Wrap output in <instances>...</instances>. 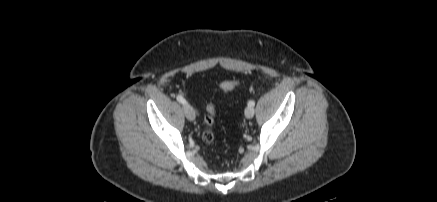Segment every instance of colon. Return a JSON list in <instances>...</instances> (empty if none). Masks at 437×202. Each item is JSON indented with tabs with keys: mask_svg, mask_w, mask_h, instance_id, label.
<instances>
[{
	"mask_svg": "<svg viewBox=\"0 0 437 202\" xmlns=\"http://www.w3.org/2000/svg\"><path fill=\"white\" fill-rule=\"evenodd\" d=\"M239 83V79H230L222 82L220 85L221 92L228 93ZM215 115H216V106L215 104H209L206 109V114L204 116V123L206 125V130L203 132L202 138L203 140L211 144L214 141V133L212 131V127L215 123Z\"/></svg>",
	"mask_w": 437,
	"mask_h": 202,
	"instance_id": "colon-1",
	"label": "colon"
}]
</instances>
